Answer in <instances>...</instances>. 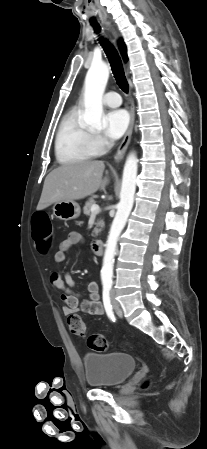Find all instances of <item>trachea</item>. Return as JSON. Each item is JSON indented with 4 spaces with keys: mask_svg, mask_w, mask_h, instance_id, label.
Instances as JSON below:
<instances>
[{
    "mask_svg": "<svg viewBox=\"0 0 207 449\" xmlns=\"http://www.w3.org/2000/svg\"><path fill=\"white\" fill-rule=\"evenodd\" d=\"M94 29L96 32H99L101 28L100 26H94ZM100 44L103 47L106 56L109 60L116 83L118 84V86L121 88L122 91L127 93L129 85L124 73L120 56L118 55L116 49L108 42V40L100 39Z\"/></svg>",
    "mask_w": 207,
    "mask_h": 449,
    "instance_id": "trachea-1",
    "label": "trachea"
}]
</instances>
